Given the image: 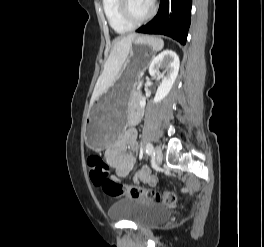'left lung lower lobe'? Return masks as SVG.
Wrapping results in <instances>:
<instances>
[{
	"mask_svg": "<svg viewBox=\"0 0 264 247\" xmlns=\"http://www.w3.org/2000/svg\"><path fill=\"white\" fill-rule=\"evenodd\" d=\"M191 6L192 0H160L156 16L137 32L166 35L185 45L191 23Z\"/></svg>",
	"mask_w": 264,
	"mask_h": 247,
	"instance_id": "0a47b994",
	"label": "left lung lower lobe"
}]
</instances>
